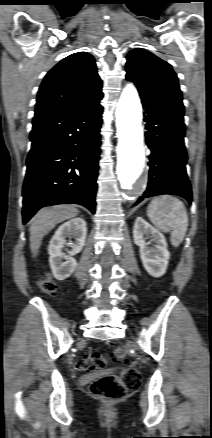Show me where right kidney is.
I'll list each match as a JSON object with an SVG mask.
<instances>
[{"label":"right kidney","instance_id":"1","mask_svg":"<svg viewBox=\"0 0 212 438\" xmlns=\"http://www.w3.org/2000/svg\"><path fill=\"white\" fill-rule=\"evenodd\" d=\"M86 234L87 226L83 218H73L56 230L48 247L49 263L56 279L64 280L74 272L77 261L72 256L84 247ZM67 238H73L75 242L67 241ZM65 245L71 247V250H67L68 255L64 253Z\"/></svg>","mask_w":212,"mask_h":438}]
</instances>
